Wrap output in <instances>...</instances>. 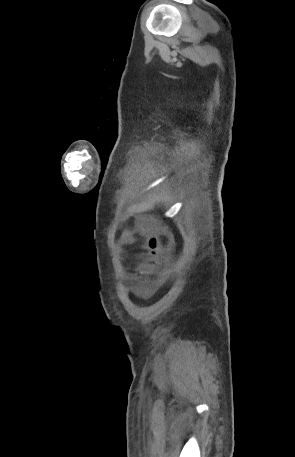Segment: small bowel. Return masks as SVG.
<instances>
[{
	"label": "small bowel",
	"mask_w": 295,
	"mask_h": 457,
	"mask_svg": "<svg viewBox=\"0 0 295 457\" xmlns=\"http://www.w3.org/2000/svg\"><path fill=\"white\" fill-rule=\"evenodd\" d=\"M122 241L123 243H131L133 241V236L129 232H124L122 236ZM150 290L147 289L146 292H149Z\"/></svg>",
	"instance_id": "c3829d8e"
}]
</instances>
